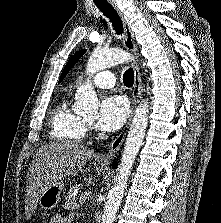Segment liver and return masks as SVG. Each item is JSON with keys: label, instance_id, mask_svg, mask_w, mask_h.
Returning <instances> with one entry per match:
<instances>
[{"label": "liver", "instance_id": "6515ba94", "mask_svg": "<svg viewBox=\"0 0 221 223\" xmlns=\"http://www.w3.org/2000/svg\"><path fill=\"white\" fill-rule=\"evenodd\" d=\"M94 151L73 141L51 142L37 150L27 175L26 216L31 217L40 195L53 183L82 170Z\"/></svg>", "mask_w": 221, "mask_h": 223}]
</instances>
